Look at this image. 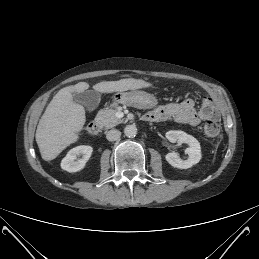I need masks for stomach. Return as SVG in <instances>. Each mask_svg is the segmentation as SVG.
I'll list each match as a JSON object with an SVG mask.
<instances>
[{
  "instance_id": "obj_1",
  "label": "stomach",
  "mask_w": 259,
  "mask_h": 259,
  "mask_svg": "<svg viewBox=\"0 0 259 259\" xmlns=\"http://www.w3.org/2000/svg\"><path fill=\"white\" fill-rule=\"evenodd\" d=\"M112 103L126 104L137 108L150 109L157 105V99L154 95L144 91L120 92L114 95Z\"/></svg>"
}]
</instances>
